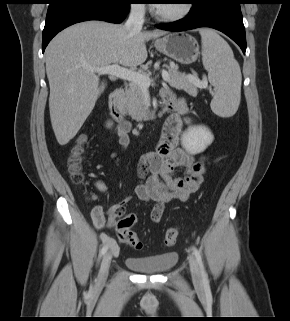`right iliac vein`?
I'll return each instance as SVG.
<instances>
[{"label": "right iliac vein", "instance_id": "1", "mask_svg": "<svg viewBox=\"0 0 290 321\" xmlns=\"http://www.w3.org/2000/svg\"><path fill=\"white\" fill-rule=\"evenodd\" d=\"M111 259H112V254L110 252L106 253L102 259L100 270L97 277L98 287H102L107 280Z\"/></svg>", "mask_w": 290, "mask_h": 321}]
</instances>
